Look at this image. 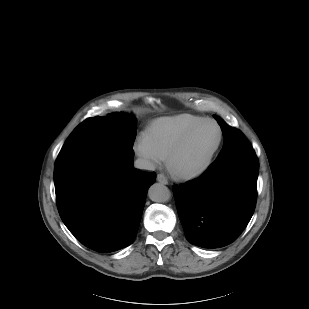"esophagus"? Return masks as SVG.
Segmentation results:
<instances>
[{"label": "esophagus", "instance_id": "34e87169", "mask_svg": "<svg viewBox=\"0 0 309 309\" xmlns=\"http://www.w3.org/2000/svg\"><path fill=\"white\" fill-rule=\"evenodd\" d=\"M156 179L161 184H165V185L168 184V180H167V178L163 174H158Z\"/></svg>", "mask_w": 309, "mask_h": 309}]
</instances>
